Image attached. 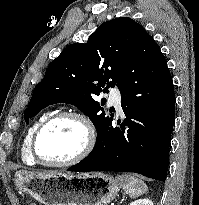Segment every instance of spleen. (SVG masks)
<instances>
[{
  "instance_id": "spleen-1",
  "label": "spleen",
  "mask_w": 199,
  "mask_h": 205,
  "mask_svg": "<svg viewBox=\"0 0 199 205\" xmlns=\"http://www.w3.org/2000/svg\"><path fill=\"white\" fill-rule=\"evenodd\" d=\"M116 180L123 190L132 198H137L148 190L147 185L135 176L127 174L118 175Z\"/></svg>"
}]
</instances>
